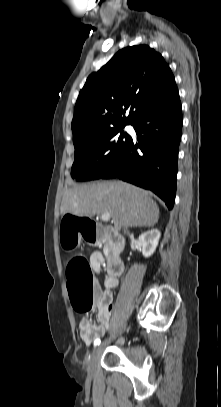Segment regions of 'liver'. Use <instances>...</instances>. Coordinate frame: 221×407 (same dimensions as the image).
<instances>
[{
  "instance_id": "liver-1",
  "label": "liver",
  "mask_w": 221,
  "mask_h": 407,
  "mask_svg": "<svg viewBox=\"0 0 221 407\" xmlns=\"http://www.w3.org/2000/svg\"><path fill=\"white\" fill-rule=\"evenodd\" d=\"M60 210L89 218L109 213L117 230L152 227L159 219L158 205L148 193L121 181L75 186L65 192Z\"/></svg>"
}]
</instances>
